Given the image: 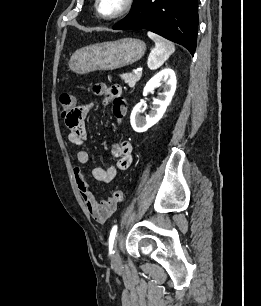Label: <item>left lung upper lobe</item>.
<instances>
[{
    "instance_id": "1",
    "label": "left lung upper lobe",
    "mask_w": 261,
    "mask_h": 306,
    "mask_svg": "<svg viewBox=\"0 0 261 306\" xmlns=\"http://www.w3.org/2000/svg\"><path fill=\"white\" fill-rule=\"evenodd\" d=\"M138 2V0H134V5Z\"/></svg>"
}]
</instances>
